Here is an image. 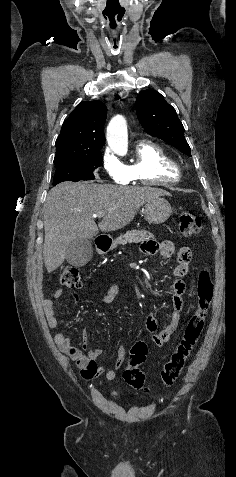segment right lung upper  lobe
I'll use <instances>...</instances> for the list:
<instances>
[{
    "mask_svg": "<svg viewBox=\"0 0 236 477\" xmlns=\"http://www.w3.org/2000/svg\"><path fill=\"white\" fill-rule=\"evenodd\" d=\"M106 111L101 101L81 102L63 123L54 161L100 151L105 144Z\"/></svg>",
    "mask_w": 236,
    "mask_h": 477,
    "instance_id": "cb5924a9",
    "label": "right lung upper lobe"
}]
</instances>
